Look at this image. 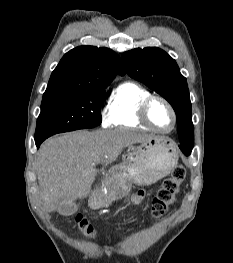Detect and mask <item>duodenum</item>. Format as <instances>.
Instances as JSON below:
<instances>
[{
    "label": "duodenum",
    "mask_w": 233,
    "mask_h": 263,
    "mask_svg": "<svg viewBox=\"0 0 233 263\" xmlns=\"http://www.w3.org/2000/svg\"><path fill=\"white\" fill-rule=\"evenodd\" d=\"M99 199H100V197H99L98 193L93 194L90 198L91 205L93 207H97L99 205Z\"/></svg>",
    "instance_id": "obj_1"
}]
</instances>
